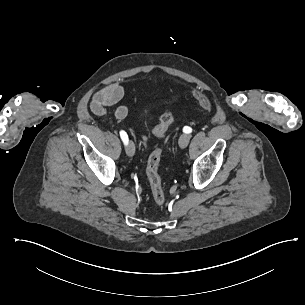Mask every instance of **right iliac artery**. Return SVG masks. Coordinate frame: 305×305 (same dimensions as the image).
<instances>
[{
    "mask_svg": "<svg viewBox=\"0 0 305 305\" xmlns=\"http://www.w3.org/2000/svg\"><path fill=\"white\" fill-rule=\"evenodd\" d=\"M120 136L124 144L126 145L128 143V135L126 134L125 131H120Z\"/></svg>",
    "mask_w": 305,
    "mask_h": 305,
    "instance_id": "82829eb1",
    "label": "right iliac artery"
}]
</instances>
